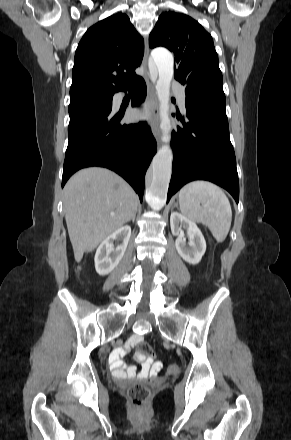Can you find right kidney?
Here are the masks:
<instances>
[{"instance_id":"ca27d5eb","label":"right kidney","mask_w":291,"mask_h":440,"mask_svg":"<svg viewBox=\"0 0 291 440\" xmlns=\"http://www.w3.org/2000/svg\"><path fill=\"white\" fill-rule=\"evenodd\" d=\"M131 236V227L126 225L102 241L95 254V269L99 275L109 274L121 261L129 239ZM114 241H121L120 245L114 248Z\"/></svg>"}]
</instances>
